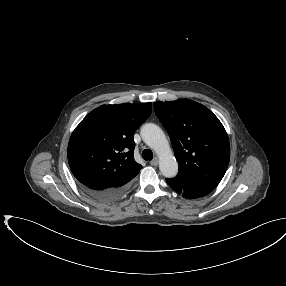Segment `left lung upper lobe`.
Here are the masks:
<instances>
[{
  "label": "left lung upper lobe",
  "instance_id": "1",
  "mask_svg": "<svg viewBox=\"0 0 286 286\" xmlns=\"http://www.w3.org/2000/svg\"><path fill=\"white\" fill-rule=\"evenodd\" d=\"M155 113L171 138L179 173L186 183L217 187L230 159L227 133L204 105L189 99L155 102Z\"/></svg>",
  "mask_w": 286,
  "mask_h": 286
}]
</instances>
